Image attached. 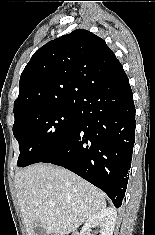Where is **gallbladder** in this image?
Segmentation results:
<instances>
[{
	"label": "gallbladder",
	"instance_id": "obj_1",
	"mask_svg": "<svg viewBox=\"0 0 155 235\" xmlns=\"http://www.w3.org/2000/svg\"><path fill=\"white\" fill-rule=\"evenodd\" d=\"M35 232L36 235H45L43 228L38 224V222L37 226L35 227Z\"/></svg>",
	"mask_w": 155,
	"mask_h": 235
}]
</instances>
